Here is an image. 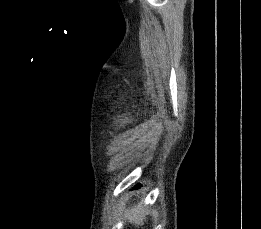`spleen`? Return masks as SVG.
<instances>
[{
    "label": "spleen",
    "mask_w": 261,
    "mask_h": 229,
    "mask_svg": "<svg viewBox=\"0 0 261 229\" xmlns=\"http://www.w3.org/2000/svg\"><path fill=\"white\" fill-rule=\"evenodd\" d=\"M141 205H137L135 209H132L130 213L128 211H125L126 217L130 219V223H134V225H142L143 223V215H146L148 213V209H140Z\"/></svg>",
    "instance_id": "obj_1"
}]
</instances>
